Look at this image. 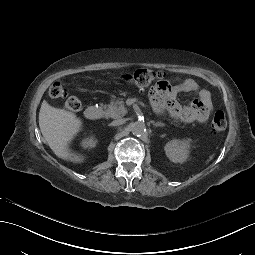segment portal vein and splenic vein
Masks as SVG:
<instances>
[{
  "label": "portal vein and splenic vein",
  "instance_id": "18ae733b",
  "mask_svg": "<svg viewBox=\"0 0 255 255\" xmlns=\"http://www.w3.org/2000/svg\"><path fill=\"white\" fill-rule=\"evenodd\" d=\"M132 105H133L132 100H129L128 103H127V106L132 107Z\"/></svg>",
  "mask_w": 255,
  "mask_h": 255
}]
</instances>
